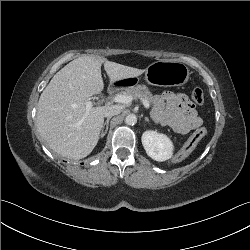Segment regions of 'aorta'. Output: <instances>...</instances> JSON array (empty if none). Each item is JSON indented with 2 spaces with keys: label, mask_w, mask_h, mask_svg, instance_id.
Segmentation results:
<instances>
[{
  "label": "aorta",
  "mask_w": 250,
  "mask_h": 250,
  "mask_svg": "<svg viewBox=\"0 0 250 250\" xmlns=\"http://www.w3.org/2000/svg\"><path fill=\"white\" fill-rule=\"evenodd\" d=\"M136 122H137V117L135 114H129L125 118V123L127 125H134V124H136Z\"/></svg>",
  "instance_id": "762f6f07"
}]
</instances>
